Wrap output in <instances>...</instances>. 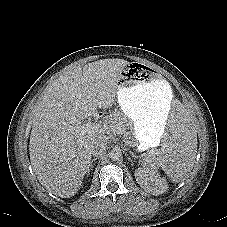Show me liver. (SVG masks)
Wrapping results in <instances>:
<instances>
[{
    "label": "liver",
    "mask_w": 227,
    "mask_h": 227,
    "mask_svg": "<svg viewBox=\"0 0 227 227\" xmlns=\"http://www.w3.org/2000/svg\"><path fill=\"white\" fill-rule=\"evenodd\" d=\"M123 59H103L59 76L42 95L34 112L29 143L31 165L39 182L61 198L74 196L91 163V146L104 134L76 135L69 130L117 98Z\"/></svg>",
    "instance_id": "1"
}]
</instances>
